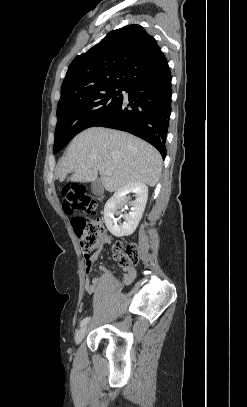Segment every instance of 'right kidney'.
I'll use <instances>...</instances> for the list:
<instances>
[{
    "mask_svg": "<svg viewBox=\"0 0 247 407\" xmlns=\"http://www.w3.org/2000/svg\"><path fill=\"white\" fill-rule=\"evenodd\" d=\"M134 193L135 200L130 202V212L124 216L125 221L118 223L114 218L116 208L128 200V195ZM148 198V187L140 182L129 183L119 190L106 202L104 220L107 229L116 237L131 235L137 228L145 210Z\"/></svg>",
    "mask_w": 247,
    "mask_h": 407,
    "instance_id": "obj_1",
    "label": "right kidney"
}]
</instances>
